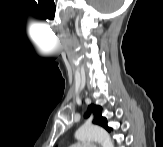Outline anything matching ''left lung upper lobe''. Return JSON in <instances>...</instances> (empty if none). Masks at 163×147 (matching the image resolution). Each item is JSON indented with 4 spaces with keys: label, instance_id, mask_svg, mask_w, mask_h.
I'll list each match as a JSON object with an SVG mask.
<instances>
[{
    "label": "left lung upper lobe",
    "instance_id": "obj_1",
    "mask_svg": "<svg viewBox=\"0 0 163 147\" xmlns=\"http://www.w3.org/2000/svg\"><path fill=\"white\" fill-rule=\"evenodd\" d=\"M92 111L94 113L93 123L102 126L107 131L110 132L111 128L108 127V125H107V119L101 115L102 108L100 106H95V105L91 104L88 108V112L86 114V117H88Z\"/></svg>",
    "mask_w": 163,
    "mask_h": 147
}]
</instances>
